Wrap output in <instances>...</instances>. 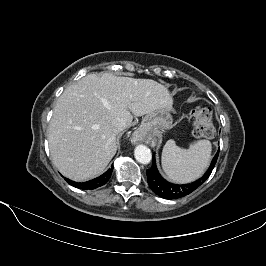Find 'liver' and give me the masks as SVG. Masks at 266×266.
I'll return each mask as SVG.
<instances>
[{
    "label": "liver",
    "instance_id": "1",
    "mask_svg": "<svg viewBox=\"0 0 266 266\" xmlns=\"http://www.w3.org/2000/svg\"><path fill=\"white\" fill-rule=\"evenodd\" d=\"M169 91L151 79L88 74L58 98L48 128L53 164L74 181L104 171L117 151L112 121L122 118L129 127L159 108L172 109Z\"/></svg>",
    "mask_w": 266,
    "mask_h": 266
}]
</instances>
